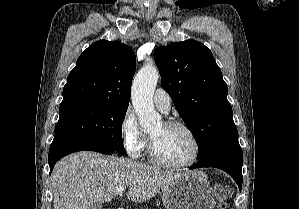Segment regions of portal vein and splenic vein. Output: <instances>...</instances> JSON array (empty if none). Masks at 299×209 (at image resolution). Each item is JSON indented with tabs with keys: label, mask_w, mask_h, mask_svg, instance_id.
Returning a JSON list of instances; mask_svg holds the SVG:
<instances>
[{
	"label": "portal vein and splenic vein",
	"mask_w": 299,
	"mask_h": 209,
	"mask_svg": "<svg viewBox=\"0 0 299 209\" xmlns=\"http://www.w3.org/2000/svg\"><path fill=\"white\" fill-rule=\"evenodd\" d=\"M124 191V187L120 186L117 190H116V194L118 195H121L122 192Z\"/></svg>",
	"instance_id": "obj_1"
}]
</instances>
